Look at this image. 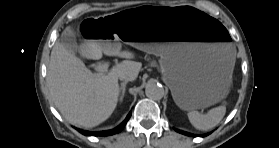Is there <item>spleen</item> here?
Here are the masks:
<instances>
[{
	"label": "spleen",
	"mask_w": 279,
	"mask_h": 148,
	"mask_svg": "<svg viewBox=\"0 0 279 148\" xmlns=\"http://www.w3.org/2000/svg\"><path fill=\"white\" fill-rule=\"evenodd\" d=\"M226 113L224 105L212 108L206 114H200L198 111H190L188 118L190 123L198 130L207 131L217 126Z\"/></svg>",
	"instance_id": "obj_1"
}]
</instances>
